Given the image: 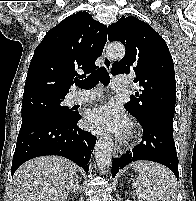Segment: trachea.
Wrapping results in <instances>:
<instances>
[{"instance_id":"3493384b","label":"trachea","mask_w":196,"mask_h":201,"mask_svg":"<svg viewBox=\"0 0 196 201\" xmlns=\"http://www.w3.org/2000/svg\"><path fill=\"white\" fill-rule=\"evenodd\" d=\"M98 82H101L104 85H107L110 82L109 73L103 67L93 72L85 80L77 81V85L80 88L88 89L94 87Z\"/></svg>"}]
</instances>
